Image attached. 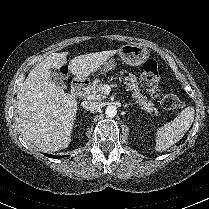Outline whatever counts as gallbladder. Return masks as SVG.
I'll use <instances>...</instances> for the list:
<instances>
[{"label": "gallbladder", "instance_id": "bac80fb5", "mask_svg": "<svg viewBox=\"0 0 209 209\" xmlns=\"http://www.w3.org/2000/svg\"><path fill=\"white\" fill-rule=\"evenodd\" d=\"M50 78L57 86H60L63 89L67 88V86L64 84L62 80V77L59 75V73L56 70L51 71Z\"/></svg>", "mask_w": 209, "mask_h": 209}]
</instances>
